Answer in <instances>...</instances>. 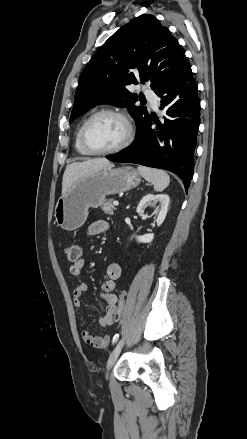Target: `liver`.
Returning <instances> with one entry per match:
<instances>
[{
  "instance_id": "1",
  "label": "liver",
  "mask_w": 247,
  "mask_h": 439,
  "mask_svg": "<svg viewBox=\"0 0 247 439\" xmlns=\"http://www.w3.org/2000/svg\"><path fill=\"white\" fill-rule=\"evenodd\" d=\"M105 167H113V164L106 158H95L71 163L66 167L63 175L62 195L80 178L93 174Z\"/></svg>"
}]
</instances>
